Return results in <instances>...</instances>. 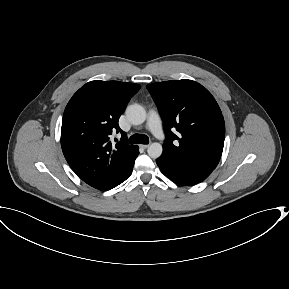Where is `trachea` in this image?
Listing matches in <instances>:
<instances>
[{
  "label": "trachea",
  "instance_id": "1",
  "mask_svg": "<svg viewBox=\"0 0 289 289\" xmlns=\"http://www.w3.org/2000/svg\"><path fill=\"white\" fill-rule=\"evenodd\" d=\"M128 142L131 144H148L149 138L144 134H134L129 138Z\"/></svg>",
  "mask_w": 289,
  "mask_h": 289
}]
</instances>
